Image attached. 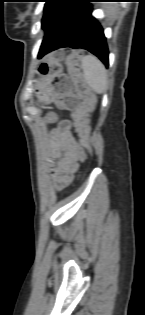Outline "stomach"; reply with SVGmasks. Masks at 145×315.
<instances>
[{
    "label": "stomach",
    "mask_w": 145,
    "mask_h": 315,
    "mask_svg": "<svg viewBox=\"0 0 145 315\" xmlns=\"http://www.w3.org/2000/svg\"><path fill=\"white\" fill-rule=\"evenodd\" d=\"M49 87H42V84H34V98H38L44 103H50L52 101V95L48 92ZM43 116H52V109H43Z\"/></svg>",
    "instance_id": "0dacf381"
}]
</instances>
